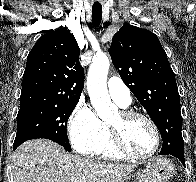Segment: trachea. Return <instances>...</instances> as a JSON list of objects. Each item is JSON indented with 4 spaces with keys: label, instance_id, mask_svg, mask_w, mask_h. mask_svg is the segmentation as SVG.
<instances>
[{
    "label": "trachea",
    "instance_id": "3493384b",
    "mask_svg": "<svg viewBox=\"0 0 196 182\" xmlns=\"http://www.w3.org/2000/svg\"><path fill=\"white\" fill-rule=\"evenodd\" d=\"M102 20V7H92V24L98 27Z\"/></svg>",
    "mask_w": 196,
    "mask_h": 182
}]
</instances>
